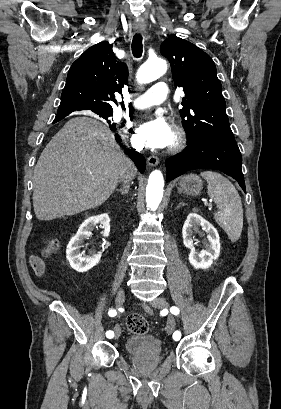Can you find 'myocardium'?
Instances as JSON below:
<instances>
[{
    "instance_id": "obj_1",
    "label": "myocardium",
    "mask_w": 281,
    "mask_h": 409,
    "mask_svg": "<svg viewBox=\"0 0 281 409\" xmlns=\"http://www.w3.org/2000/svg\"><path fill=\"white\" fill-rule=\"evenodd\" d=\"M172 141L168 145L167 152L174 154L183 149L187 141V134L185 130L179 126L172 128Z\"/></svg>"
}]
</instances>
